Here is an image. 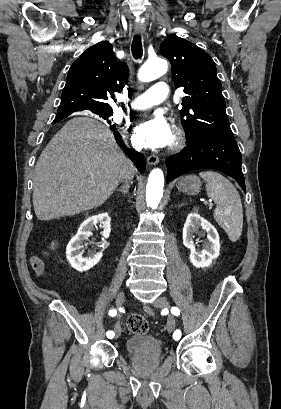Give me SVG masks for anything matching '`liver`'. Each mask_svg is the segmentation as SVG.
<instances>
[{
    "instance_id": "liver-1",
    "label": "liver",
    "mask_w": 281,
    "mask_h": 409,
    "mask_svg": "<svg viewBox=\"0 0 281 409\" xmlns=\"http://www.w3.org/2000/svg\"><path fill=\"white\" fill-rule=\"evenodd\" d=\"M114 136L89 116L71 118L42 150L34 168L33 207L39 221L96 209L130 170ZM133 170H135L133 166Z\"/></svg>"
}]
</instances>
